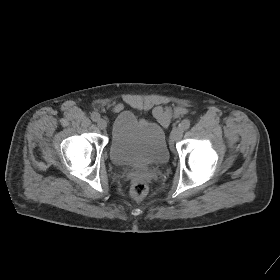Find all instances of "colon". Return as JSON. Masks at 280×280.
<instances>
[{
  "label": "colon",
  "mask_w": 280,
  "mask_h": 280,
  "mask_svg": "<svg viewBox=\"0 0 280 280\" xmlns=\"http://www.w3.org/2000/svg\"><path fill=\"white\" fill-rule=\"evenodd\" d=\"M148 192V186L143 181H135L130 188V195L134 199H142Z\"/></svg>",
  "instance_id": "1"
}]
</instances>
